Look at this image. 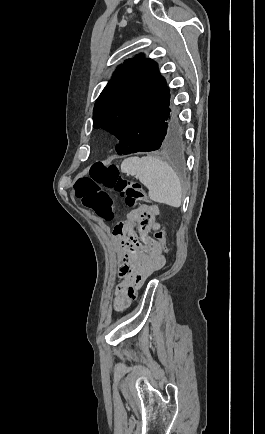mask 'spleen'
Masks as SVG:
<instances>
[{
  "mask_svg": "<svg viewBox=\"0 0 265 434\" xmlns=\"http://www.w3.org/2000/svg\"><path fill=\"white\" fill-rule=\"evenodd\" d=\"M121 172L136 176L148 190V196L153 202L167 204L179 208L182 200L180 180L173 168L162 162L160 158L144 156V158H126L121 164Z\"/></svg>",
  "mask_w": 265,
  "mask_h": 434,
  "instance_id": "3e777b00",
  "label": "spleen"
}]
</instances>
